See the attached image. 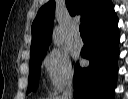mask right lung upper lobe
<instances>
[{
    "mask_svg": "<svg viewBox=\"0 0 128 99\" xmlns=\"http://www.w3.org/2000/svg\"><path fill=\"white\" fill-rule=\"evenodd\" d=\"M111 6L110 0H66L70 15L81 14V22L87 27ZM54 10V1H49L39 9L32 24L30 58L44 54L48 50L53 30Z\"/></svg>",
    "mask_w": 128,
    "mask_h": 99,
    "instance_id": "obj_1",
    "label": "right lung upper lobe"
}]
</instances>
